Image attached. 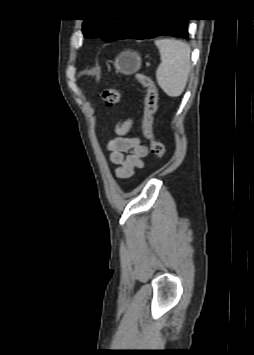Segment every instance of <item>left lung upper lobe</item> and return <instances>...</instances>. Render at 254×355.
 <instances>
[{
    "label": "left lung upper lobe",
    "instance_id": "obj_1",
    "mask_svg": "<svg viewBox=\"0 0 254 355\" xmlns=\"http://www.w3.org/2000/svg\"><path fill=\"white\" fill-rule=\"evenodd\" d=\"M131 19H95L83 22V34L86 38L100 37L107 42L116 40Z\"/></svg>",
    "mask_w": 254,
    "mask_h": 355
}]
</instances>
